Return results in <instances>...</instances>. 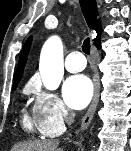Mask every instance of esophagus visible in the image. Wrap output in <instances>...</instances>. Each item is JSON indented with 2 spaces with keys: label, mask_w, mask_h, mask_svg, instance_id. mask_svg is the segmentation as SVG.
<instances>
[{
  "label": "esophagus",
  "mask_w": 131,
  "mask_h": 151,
  "mask_svg": "<svg viewBox=\"0 0 131 151\" xmlns=\"http://www.w3.org/2000/svg\"><path fill=\"white\" fill-rule=\"evenodd\" d=\"M93 81H94V95H93L91 104L82 119V123H81V127H80L81 131L86 130L88 128V126L90 125V123L93 119V116L95 114V111H96V108L98 105V101H99L100 82H99L98 74L94 75Z\"/></svg>",
  "instance_id": "34e87169"
}]
</instances>
